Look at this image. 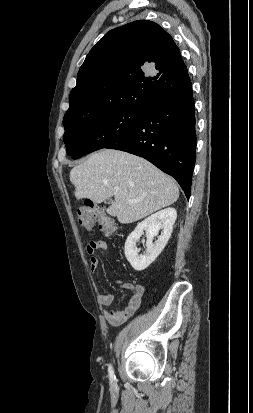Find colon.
<instances>
[{
  "instance_id": "5ec220e1",
  "label": "colon",
  "mask_w": 253,
  "mask_h": 413,
  "mask_svg": "<svg viewBox=\"0 0 253 413\" xmlns=\"http://www.w3.org/2000/svg\"><path fill=\"white\" fill-rule=\"evenodd\" d=\"M77 219L79 225L85 230H91L96 222L100 230L108 237L115 233L113 219L106 214L103 207L95 203H86L78 209Z\"/></svg>"
}]
</instances>
